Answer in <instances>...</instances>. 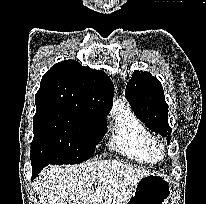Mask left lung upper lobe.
I'll return each instance as SVG.
<instances>
[{
  "label": "left lung upper lobe",
  "mask_w": 206,
  "mask_h": 204,
  "mask_svg": "<svg viewBox=\"0 0 206 204\" xmlns=\"http://www.w3.org/2000/svg\"><path fill=\"white\" fill-rule=\"evenodd\" d=\"M125 95L136 116L146 126L170 142L172 129L168 125V105L161 83L149 72L134 71L127 83Z\"/></svg>",
  "instance_id": "obj_1"
}]
</instances>
